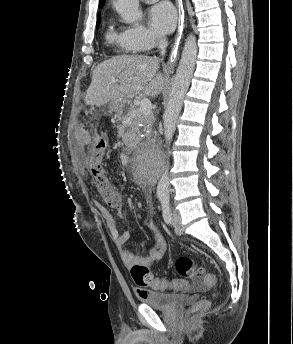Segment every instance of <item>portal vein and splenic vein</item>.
Returning a JSON list of instances; mask_svg holds the SVG:
<instances>
[{
	"label": "portal vein and splenic vein",
	"mask_w": 293,
	"mask_h": 344,
	"mask_svg": "<svg viewBox=\"0 0 293 344\" xmlns=\"http://www.w3.org/2000/svg\"><path fill=\"white\" fill-rule=\"evenodd\" d=\"M113 82H116L114 80ZM152 111V104L151 101L147 98H144L140 102V112L143 113L144 115H149Z\"/></svg>",
	"instance_id": "18ae733b"
}]
</instances>
